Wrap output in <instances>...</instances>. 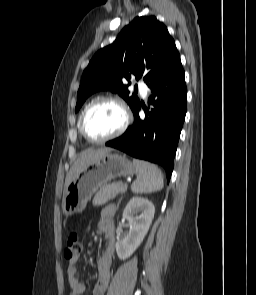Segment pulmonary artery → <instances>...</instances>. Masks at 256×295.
<instances>
[{"instance_id":"1","label":"pulmonary artery","mask_w":256,"mask_h":295,"mask_svg":"<svg viewBox=\"0 0 256 295\" xmlns=\"http://www.w3.org/2000/svg\"><path fill=\"white\" fill-rule=\"evenodd\" d=\"M138 87H139V89H140L142 95L145 96L146 93H147V86H146V84H144L143 81H139V82H138Z\"/></svg>"}]
</instances>
